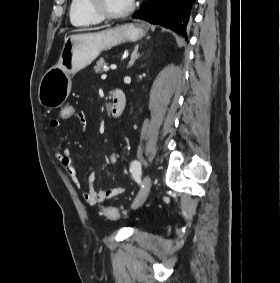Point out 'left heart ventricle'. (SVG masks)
Returning a JSON list of instances; mask_svg holds the SVG:
<instances>
[{
  "label": "left heart ventricle",
  "instance_id": "b2bd125f",
  "mask_svg": "<svg viewBox=\"0 0 280 283\" xmlns=\"http://www.w3.org/2000/svg\"><path fill=\"white\" fill-rule=\"evenodd\" d=\"M108 11L120 13L126 10L131 4V0H103Z\"/></svg>",
  "mask_w": 280,
  "mask_h": 283
}]
</instances>
